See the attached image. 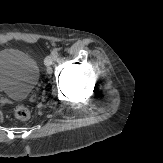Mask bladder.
Here are the masks:
<instances>
[{
	"label": "bladder",
	"instance_id": "obj_1",
	"mask_svg": "<svg viewBox=\"0 0 163 163\" xmlns=\"http://www.w3.org/2000/svg\"><path fill=\"white\" fill-rule=\"evenodd\" d=\"M39 79L37 61L28 53L8 48L0 50V92L12 99H23Z\"/></svg>",
	"mask_w": 163,
	"mask_h": 163
}]
</instances>
